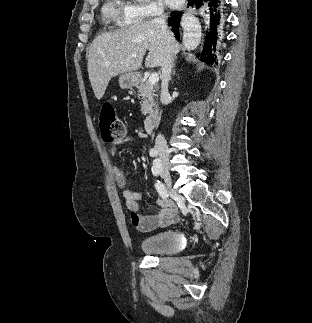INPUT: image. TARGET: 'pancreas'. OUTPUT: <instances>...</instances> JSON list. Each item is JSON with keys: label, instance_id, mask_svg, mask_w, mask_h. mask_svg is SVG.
Here are the masks:
<instances>
[{"label": "pancreas", "instance_id": "pancreas-1", "mask_svg": "<svg viewBox=\"0 0 312 323\" xmlns=\"http://www.w3.org/2000/svg\"><path fill=\"white\" fill-rule=\"evenodd\" d=\"M138 92V96H142V114H144V116H146V114H149V116L155 114L158 106L155 100V96H157V94H155L156 90H154V86H152L150 82H142L141 88Z\"/></svg>", "mask_w": 312, "mask_h": 323}]
</instances>
